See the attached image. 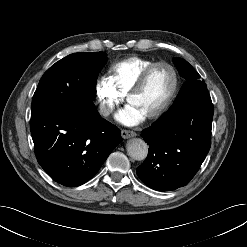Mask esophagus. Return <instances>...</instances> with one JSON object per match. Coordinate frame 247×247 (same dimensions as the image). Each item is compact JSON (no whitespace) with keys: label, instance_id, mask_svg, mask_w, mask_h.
Segmentation results:
<instances>
[{"label":"esophagus","instance_id":"obj_1","mask_svg":"<svg viewBox=\"0 0 247 247\" xmlns=\"http://www.w3.org/2000/svg\"><path fill=\"white\" fill-rule=\"evenodd\" d=\"M121 136H122L124 139H128V138H131V137L136 136V133L133 132V131H130V130H125V129H123V130L121 131Z\"/></svg>","mask_w":247,"mask_h":247}]
</instances>
